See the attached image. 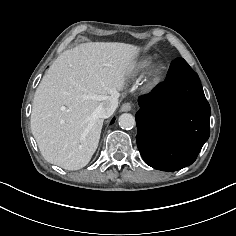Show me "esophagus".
I'll return each instance as SVG.
<instances>
[{
	"mask_svg": "<svg viewBox=\"0 0 236 236\" xmlns=\"http://www.w3.org/2000/svg\"><path fill=\"white\" fill-rule=\"evenodd\" d=\"M132 108L131 104L130 103H124L121 108H120V111L121 112H128L130 111Z\"/></svg>",
	"mask_w": 236,
	"mask_h": 236,
	"instance_id": "esophagus-1",
	"label": "esophagus"
}]
</instances>
